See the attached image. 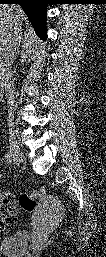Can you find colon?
Masks as SVG:
<instances>
[{
  "label": "colon",
  "mask_w": 106,
  "mask_h": 257,
  "mask_svg": "<svg viewBox=\"0 0 106 257\" xmlns=\"http://www.w3.org/2000/svg\"><path fill=\"white\" fill-rule=\"evenodd\" d=\"M52 196L45 188L32 192H22L18 196V204L26 212L32 213L38 207V202L46 206L51 202Z\"/></svg>",
  "instance_id": "colon-1"
}]
</instances>
